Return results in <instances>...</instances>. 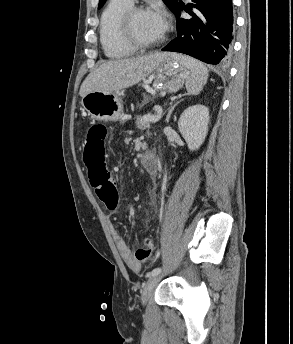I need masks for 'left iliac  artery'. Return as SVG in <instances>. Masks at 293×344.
Listing matches in <instances>:
<instances>
[{
	"label": "left iliac artery",
	"instance_id": "44dca946",
	"mask_svg": "<svg viewBox=\"0 0 293 344\" xmlns=\"http://www.w3.org/2000/svg\"><path fill=\"white\" fill-rule=\"evenodd\" d=\"M160 272H161V268L158 267V268L153 269L151 272H149L147 274V276L148 277H153V276L158 275Z\"/></svg>",
	"mask_w": 293,
	"mask_h": 344
}]
</instances>
